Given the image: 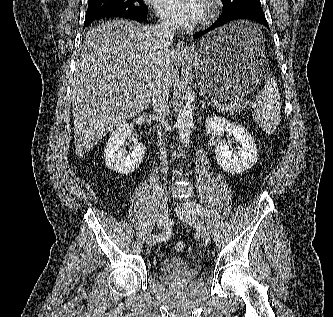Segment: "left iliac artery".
I'll use <instances>...</instances> for the list:
<instances>
[{
	"label": "left iliac artery",
	"instance_id": "1",
	"mask_svg": "<svg viewBox=\"0 0 333 317\" xmlns=\"http://www.w3.org/2000/svg\"><path fill=\"white\" fill-rule=\"evenodd\" d=\"M192 211L199 214L203 211V208L199 204L192 203Z\"/></svg>",
	"mask_w": 333,
	"mask_h": 317
}]
</instances>
